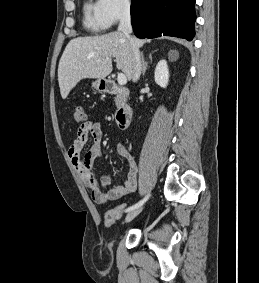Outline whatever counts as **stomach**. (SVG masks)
<instances>
[{"instance_id": "1", "label": "stomach", "mask_w": 259, "mask_h": 283, "mask_svg": "<svg viewBox=\"0 0 259 283\" xmlns=\"http://www.w3.org/2000/svg\"><path fill=\"white\" fill-rule=\"evenodd\" d=\"M92 88L99 92H104L107 88V82L103 79H97L96 81L92 82Z\"/></svg>"}]
</instances>
